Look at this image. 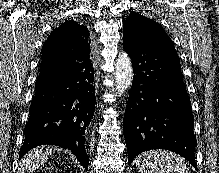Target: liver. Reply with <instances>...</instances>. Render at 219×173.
<instances>
[{"label": "liver", "mask_w": 219, "mask_h": 173, "mask_svg": "<svg viewBox=\"0 0 219 173\" xmlns=\"http://www.w3.org/2000/svg\"><path fill=\"white\" fill-rule=\"evenodd\" d=\"M51 154L52 148L43 146L29 152L22 160V170L20 173H25L24 171H27V173L33 172V170L44 164Z\"/></svg>", "instance_id": "obj_1"}]
</instances>
